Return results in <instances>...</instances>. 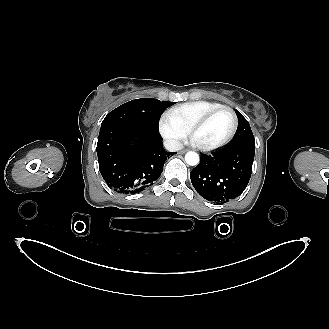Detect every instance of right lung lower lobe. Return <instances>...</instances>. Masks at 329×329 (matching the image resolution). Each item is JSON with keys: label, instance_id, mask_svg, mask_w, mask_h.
<instances>
[{"label": "right lung lower lobe", "instance_id": "1", "mask_svg": "<svg viewBox=\"0 0 329 329\" xmlns=\"http://www.w3.org/2000/svg\"><path fill=\"white\" fill-rule=\"evenodd\" d=\"M176 152L162 146L159 130L133 125L101 127L97 156L102 177L116 192L136 194L161 175L164 162Z\"/></svg>", "mask_w": 329, "mask_h": 329}]
</instances>
